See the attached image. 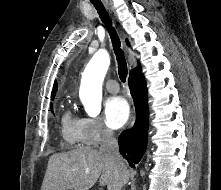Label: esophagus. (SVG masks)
Returning a JSON list of instances; mask_svg holds the SVG:
<instances>
[{
  "mask_svg": "<svg viewBox=\"0 0 221 190\" xmlns=\"http://www.w3.org/2000/svg\"><path fill=\"white\" fill-rule=\"evenodd\" d=\"M134 121H135V110L134 108L132 109V113H131V117H130V126H132L134 124Z\"/></svg>",
  "mask_w": 221,
  "mask_h": 190,
  "instance_id": "34e87169",
  "label": "esophagus"
}]
</instances>
